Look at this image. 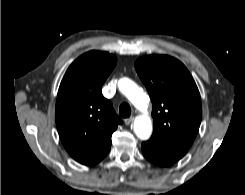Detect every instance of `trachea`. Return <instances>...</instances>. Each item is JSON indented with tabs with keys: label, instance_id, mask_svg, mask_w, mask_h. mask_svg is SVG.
I'll return each mask as SVG.
<instances>
[{
	"label": "trachea",
	"instance_id": "3493384b",
	"mask_svg": "<svg viewBox=\"0 0 245 195\" xmlns=\"http://www.w3.org/2000/svg\"><path fill=\"white\" fill-rule=\"evenodd\" d=\"M119 115L123 118H127L131 115V107L128 103L124 102L120 105Z\"/></svg>",
	"mask_w": 245,
	"mask_h": 195
}]
</instances>
